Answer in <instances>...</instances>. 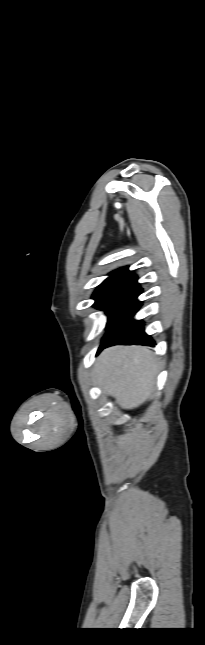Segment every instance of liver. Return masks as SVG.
Instances as JSON below:
<instances>
[{"label": "liver", "mask_w": 205, "mask_h": 645, "mask_svg": "<svg viewBox=\"0 0 205 645\" xmlns=\"http://www.w3.org/2000/svg\"><path fill=\"white\" fill-rule=\"evenodd\" d=\"M159 364L144 346H113L98 357L94 382L124 409L139 407L155 390Z\"/></svg>", "instance_id": "1"}]
</instances>
